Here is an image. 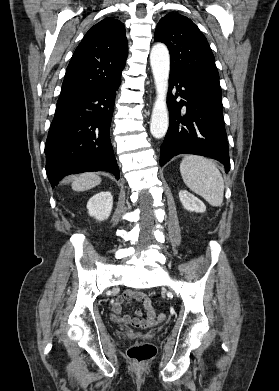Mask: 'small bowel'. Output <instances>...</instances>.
Returning a JSON list of instances; mask_svg holds the SVG:
<instances>
[{
    "label": "small bowel",
    "instance_id": "small-bowel-1",
    "mask_svg": "<svg viewBox=\"0 0 279 391\" xmlns=\"http://www.w3.org/2000/svg\"><path fill=\"white\" fill-rule=\"evenodd\" d=\"M136 300L143 304L145 317L141 318L142 311L137 310V317L131 318L129 315L122 314V305L124 301ZM112 318L115 321L130 324L136 328H148L156 324V311L151 304L150 299L142 292L127 291L118 297L112 306Z\"/></svg>",
    "mask_w": 279,
    "mask_h": 391
}]
</instances>
